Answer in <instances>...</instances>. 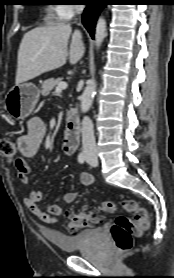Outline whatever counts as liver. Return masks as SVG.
Listing matches in <instances>:
<instances>
[{
  "label": "liver",
  "instance_id": "6515ba94",
  "mask_svg": "<svg viewBox=\"0 0 174 278\" xmlns=\"http://www.w3.org/2000/svg\"><path fill=\"white\" fill-rule=\"evenodd\" d=\"M71 32L70 24L60 23L37 27L25 33L18 50L16 85L63 66L67 57L72 65L76 64L82 58L85 47L81 32L75 30L68 51Z\"/></svg>",
  "mask_w": 174,
  "mask_h": 278
}]
</instances>
